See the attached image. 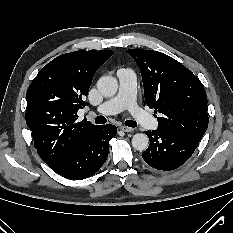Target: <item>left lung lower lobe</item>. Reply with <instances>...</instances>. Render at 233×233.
I'll list each match as a JSON object with an SVG mask.
<instances>
[{"label": "left lung lower lobe", "instance_id": "obj_1", "mask_svg": "<svg viewBox=\"0 0 233 233\" xmlns=\"http://www.w3.org/2000/svg\"><path fill=\"white\" fill-rule=\"evenodd\" d=\"M149 147L142 158L157 170L169 171L184 164L195 151L200 140L174 131L157 129L146 131Z\"/></svg>", "mask_w": 233, "mask_h": 233}]
</instances>
